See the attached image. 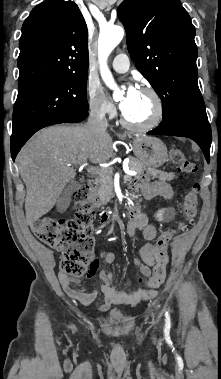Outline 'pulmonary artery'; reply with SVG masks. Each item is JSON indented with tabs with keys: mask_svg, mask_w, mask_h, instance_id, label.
Returning <instances> with one entry per match:
<instances>
[{
	"mask_svg": "<svg viewBox=\"0 0 221 379\" xmlns=\"http://www.w3.org/2000/svg\"><path fill=\"white\" fill-rule=\"evenodd\" d=\"M129 66H130L129 58L124 53L118 54L112 62V68L116 72H119V73H124L128 71Z\"/></svg>",
	"mask_w": 221,
	"mask_h": 379,
	"instance_id": "obj_1",
	"label": "pulmonary artery"
}]
</instances>
